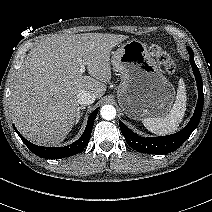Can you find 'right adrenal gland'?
<instances>
[{"label": "right adrenal gland", "mask_w": 212, "mask_h": 212, "mask_svg": "<svg viewBox=\"0 0 212 212\" xmlns=\"http://www.w3.org/2000/svg\"><path fill=\"white\" fill-rule=\"evenodd\" d=\"M85 109V107H78L77 109V116H76V120H75V124H77L80 120V117H81V110Z\"/></svg>", "instance_id": "right-adrenal-gland-1"}]
</instances>
